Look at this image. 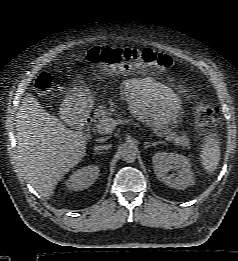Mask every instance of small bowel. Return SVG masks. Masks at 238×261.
I'll use <instances>...</instances> for the list:
<instances>
[{
  "label": "small bowel",
  "instance_id": "obj_1",
  "mask_svg": "<svg viewBox=\"0 0 238 261\" xmlns=\"http://www.w3.org/2000/svg\"><path fill=\"white\" fill-rule=\"evenodd\" d=\"M120 90L132 112L155 126L174 124L180 117L182 89L174 90L150 77H139L125 80Z\"/></svg>",
  "mask_w": 238,
  "mask_h": 261
}]
</instances>
